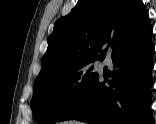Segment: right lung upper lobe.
Segmentation results:
<instances>
[{
  "label": "right lung upper lobe",
  "mask_w": 156,
  "mask_h": 124,
  "mask_svg": "<svg viewBox=\"0 0 156 124\" xmlns=\"http://www.w3.org/2000/svg\"><path fill=\"white\" fill-rule=\"evenodd\" d=\"M147 26L149 16L141 0H78L70 14L56 21L37 78L101 59L126 32ZM102 47H106L103 52Z\"/></svg>",
  "instance_id": "right-lung-upper-lobe-1"
}]
</instances>
